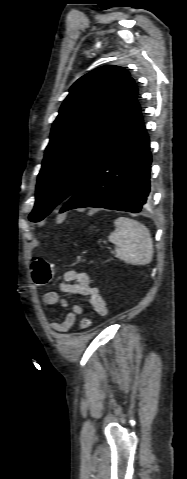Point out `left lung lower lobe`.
Returning <instances> with one entry per match:
<instances>
[{
	"label": "left lung lower lobe",
	"instance_id": "left-lung-lower-lobe-1",
	"mask_svg": "<svg viewBox=\"0 0 187 479\" xmlns=\"http://www.w3.org/2000/svg\"><path fill=\"white\" fill-rule=\"evenodd\" d=\"M151 152L137 99L113 145L95 163L60 212L99 207L140 212L150 193Z\"/></svg>",
	"mask_w": 187,
	"mask_h": 479
}]
</instances>
